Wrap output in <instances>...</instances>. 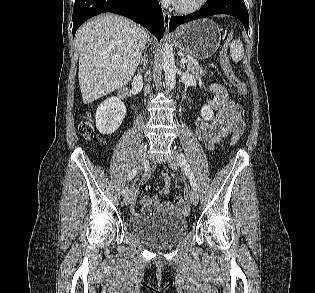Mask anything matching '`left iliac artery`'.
I'll return each instance as SVG.
<instances>
[{
    "mask_svg": "<svg viewBox=\"0 0 315 293\" xmlns=\"http://www.w3.org/2000/svg\"><path fill=\"white\" fill-rule=\"evenodd\" d=\"M179 162H180V165L182 167V169L185 171V173L187 174L188 178H189V181L191 183V186L193 188V190H197V184H196V181H195V178H194V175L192 174L191 172V169L189 167V164L187 162V159L186 157L184 156V154H179Z\"/></svg>",
    "mask_w": 315,
    "mask_h": 293,
    "instance_id": "obj_1",
    "label": "left iliac artery"
}]
</instances>
